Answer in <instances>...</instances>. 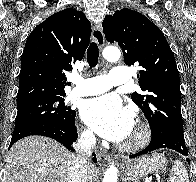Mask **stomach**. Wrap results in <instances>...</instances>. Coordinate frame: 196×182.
Wrapping results in <instances>:
<instances>
[{
  "label": "stomach",
  "instance_id": "stomach-1",
  "mask_svg": "<svg viewBox=\"0 0 196 182\" xmlns=\"http://www.w3.org/2000/svg\"><path fill=\"white\" fill-rule=\"evenodd\" d=\"M167 166V160L162 154H152L133 160L124 169V179L131 182H139L149 173H160Z\"/></svg>",
  "mask_w": 196,
  "mask_h": 182
}]
</instances>
